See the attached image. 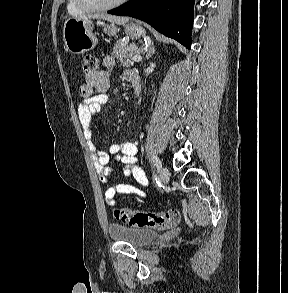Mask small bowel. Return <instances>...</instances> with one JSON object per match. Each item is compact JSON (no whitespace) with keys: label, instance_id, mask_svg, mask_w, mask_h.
Here are the masks:
<instances>
[{"label":"small bowel","instance_id":"small-bowel-1","mask_svg":"<svg viewBox=\"0 0 288 293\" xmlns=\"http://www.w3.org/2000/svg\"><path fill=\"white\" fill-rule=\"evenodd\" d=\"M105 70L97 71L92 75L85 76V82L81 85L79 93L81 101L78 105V118L87 140V146L94 157V164L103 184L108 183L111 174L109 163L111 158L125 164L124 175L133 178L140 186L147 187L149 180L137 164L139 152L137 142H124L111 144L106 150L99 149L93 141L92 122L101 108L107 103V91L110 87V75L115 62L111 56L103 59ZM136 74L132 71L125 72V78L130 79ZM136 195L140 198H147V193L132 182L120 183L108 187L105 191V199L110 206H117L121 196Z\"/></svg>","mask_w":288,"mask_h":293}]
</instances>
